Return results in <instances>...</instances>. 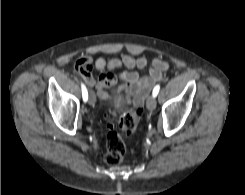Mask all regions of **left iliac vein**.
Wrapping results in <instances>:
<instances>
[{"label": "left iliac vein", "instance_id": "left-iliac-vein-1", "mask_svg": "<svg viewBox=\"0 0 245 195\" xmlns=\"http://www.w3.org/2000/svg\"><path fill=\"white\" fill-rule=\"evenodd\" d=\"M146 106L149 110H154L156 108V99L153 95L148 97Z\"/></svg>", "mask_w": 245, "mask_h": 195}]
</instances>
